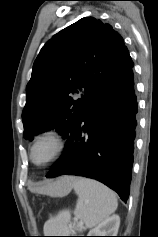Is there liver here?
<instances>
[{
  "label": "liver",
  "instance_id": "1",
  "mask_svg": "<svg viewBox=\"0 0 158 237\" xmlns=\"http://www.w3.org/2000/svg\"><path fill=\"white\" fill-rule=\"evenodd\" d=\"M75 177H62L58 181L46 186L35 188V191L41 194L54 196L56 191L66 184H74Z\"/></svg>",
  "mask_w": 158,
  "mask_h": 237
}]
</instances>
